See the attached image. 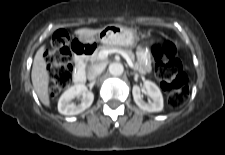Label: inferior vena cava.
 Wrapping results in <instances>:
<instances>
[{
  "mask_svg": "<svg viewBox=\"0 0 225 155\" xmlns=\"http://www.w3.org/2000/svg\"><path fill=\"white\" fill-rule=\"evenodd\" d=\"M105 69L104 64H96L89 68L87 72V78L89 80H94L97 76H99L103 70Z\"/></svg>",
  "mask_w": 225,
  "mask_h": 155,
  "instance_id": "inferior-vena-cava-1",
  "label": "inferior vena cava"
}]
</instances>
